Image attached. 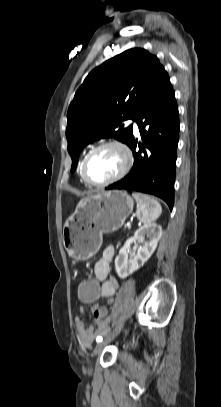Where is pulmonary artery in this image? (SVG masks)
<instances>
[{"label": "pulmonary artery", "instance_id": "obj_1", "mask_svg": "<svg viewBox=\"0 0 221 407\" xmlns=\"http://www.w3.org/2000/svg\"><path fill=\"white\" fill-rule=\"evenodd\" d=\"M130 122L133 124L134 131L138 132V125H137L136 121L131 120Z\"/></svg>", "mask_w": 221, "mask_h": 407}]
</instances>
